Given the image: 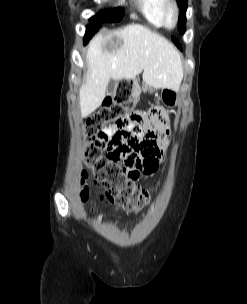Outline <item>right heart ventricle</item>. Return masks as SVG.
Masks as SVG:
<instances>
[{"label": "right heart ventricle", "mask_w": 247, "mask_h": 304, "mask_svg": "<svg viewBox=\"0 0 247 304\" xmlns=\"http://www.w3.org/2000/svg\"><path fill=\"white\" fill-rule=\"evenodd\" d=\"M165 0H139V9L145 19L154 27H164L163 6Z\"/></svg>", "instance_id": "obj_1"}]
</instances>
